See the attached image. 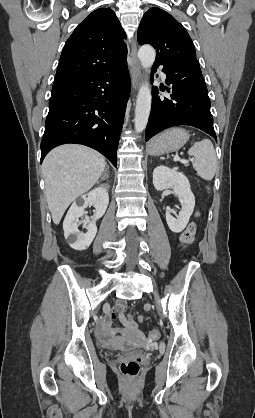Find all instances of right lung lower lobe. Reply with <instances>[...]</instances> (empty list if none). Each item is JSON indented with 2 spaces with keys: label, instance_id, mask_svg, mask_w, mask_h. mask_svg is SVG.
Returning a JSON list of instances; mask_svg holds the SVG:
<instances>
[{
  "label": "right lung lower lobe",
  "instance_id": "right-lung-lower-lobe-1",
  "mask_svg": "<svg viewBox=\"0 0 255 418\" xmlns=\"http://www.w3.org/2000/svg\"><path fill=\"white\" fill-rule=\"evenodd\" d=\"M129 93L127 63L110 71L54 80L41 162L54 147L77 143L99 151L116 167Z\"/></svg>",
  "mask_w": 255,
  "mask_h": 418
}]
</instances>
